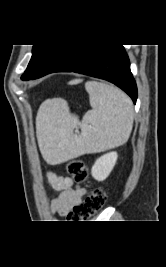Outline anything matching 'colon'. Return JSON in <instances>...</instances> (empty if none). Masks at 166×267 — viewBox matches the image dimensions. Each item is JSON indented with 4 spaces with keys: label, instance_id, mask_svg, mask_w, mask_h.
<instances>
[{
    "label": "colon",
    "instance_id": "1",
    "mask_svg": "<svg viewBox=\"0 0 166 267\" xmlns=\"http://www.w3.org/2000/svg\"><path fill=\"white\" fill-rule=\"evenodd\" d=\"M67 172L77 183H84L88 179V169L80 160H72L67 164ZM106 194L101 188H93L86 198L73 207L68 213V222H83L98 212L105 204Z\"/></svg>",
    "mask_w": 166,
    "mask_h": 267
}]
</instances>
